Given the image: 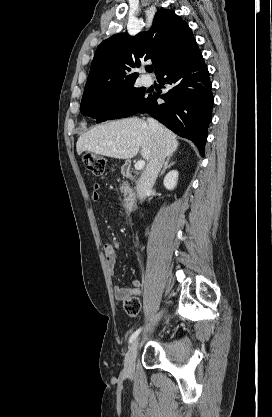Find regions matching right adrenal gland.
<instances>
[{
  "label": "right adrenal gland",
  "mask_w": 272,
  "mask_h": 417,
  "mask_svg": "<svg viewBox=\"0 0 272 417\" xmlns=\"http://www.w3.org/2000/svg\"><path fill=\"white\" fill-rule=\"evenodd\" d=\"M174 164H175V162H171L170 163V157H167V159H166V161L164 163L163 169L161 170L159 176H162L165 173L166 169L167 168H170Z\"/></svg>",
  "instance_id": "right-adrenal-gland-1"
}]
</instances>
